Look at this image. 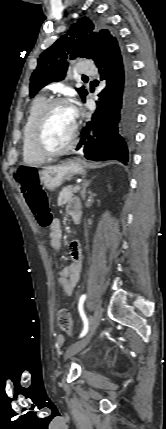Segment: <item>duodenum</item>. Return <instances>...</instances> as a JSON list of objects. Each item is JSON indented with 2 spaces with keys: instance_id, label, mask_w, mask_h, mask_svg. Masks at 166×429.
<instances>
[{
  "instance_id": "1",
  "label": "duodenum",
  "mask_w": 166,
  "mask_h": 429,
  "mask_svg": "<svg viewBox=\"0 0 166 429\" xmlns=\"http://www.w3.org/2000/svg\"><path fill=\"white\" fill-rule=\"evenodd\" d=\"M72 218H73V220H74L75 222H79V220H80V213H79L78 211H74V212L72 213Z\"/></svg>"
}]
</instances>
